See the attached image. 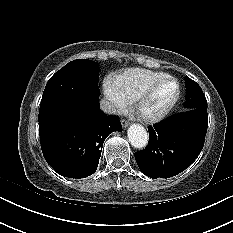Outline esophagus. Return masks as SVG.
Returning a JSON list of instances; mask_svg holds the SVG:
<instances>
[{"mask_svg": "<svg viewBox=\"0 0 233 233\" xmlns=\"http://www.w3.org/2000/svg\"><path fill=\"white\" fill-rule=\"evenodd\" d=\"M121 123H122V126H123L124 128H127V127L129 126V122H128L127 120H125V119H123V120L121 121Z\"/></svg>", "mask_w": 233, "mask_h": 233, "instance_id": "1", "label": "esophagus"}]
</instances>
